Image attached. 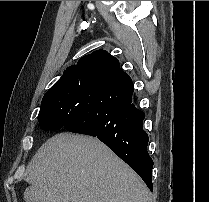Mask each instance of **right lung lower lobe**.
<instances>
[{"mask_svg": "<svg viewBox=\"0 0 209 202\" xmlns=\"http://www.w3.org/2000/svg\"><path fill=\"white\" fill-rule=\"evenodd\" d=\"M134 86L121 68L91 78L81 92L78 109L66 119L67 131L95 136L125 161L152 191L153 160L143 130L145 113L132 104Z\"/></svg>", "mask_w": 209, "mask_h": 202, "instance_id": "98d812e1", "label": "right lung lower lobe"}]
</instances>
